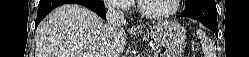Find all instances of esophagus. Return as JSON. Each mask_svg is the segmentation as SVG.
I'll return each mask as SVG.
<instances>
[{
	"label": "esophagus",
	"mask_w": 249,
	"mask_h": 57,
	"mask_svg": "<svg viewBox=\"0 0 249 57\" xmlns=\"http://www.w3.org/2000/svg\"><path fill=\"white\" fill-rule=\"evenodd\" d=\"M137 28L136 27H132V30H136Z\"/></svg>",
	"instance_id": "1"
}]
</instances>
